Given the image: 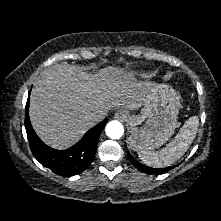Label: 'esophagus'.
Here are the masks:
<instances>
[{
    "label": "esophagus",
    "instance_id": "esophagus-1",
    "mask_svg": "<svg viewBox=\"0 0 221 221\" xmlns=\"http://www.w3.org/2000/svg\"><path fill=\"white\" fill-rule=\"evenodd\" d=\"M115 118L117 120H121V121H124L127 119V114L126 112L124 111H118L116 114H115Z\"/></svg>",
    "mask_w": 221,
    "mask_h": 221
}]
</instances>
